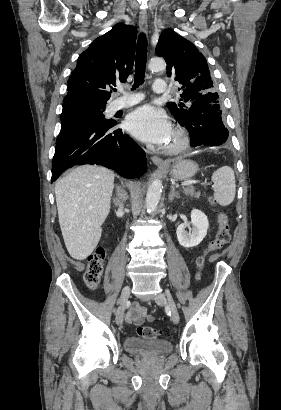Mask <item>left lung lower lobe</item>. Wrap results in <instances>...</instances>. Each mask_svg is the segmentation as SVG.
I'll list each match as a JSON object with an SVG mask.
<instances>
[{"mask_svg":"<svg viewBox=\"0 0 281 410\" xmlns=\"http://www.w3.org/2000/svg\"><path fill=\"white\" fill-rule=\"evenodd\" d=\"M221 115L219 101H197L191 104L186 119L180 125L190 132L192 147L218 146L227 140L229 131L225 128Z\"/></svg>","mask_w":281,"mask_h":410,"instance_id":"1","label":"left lung lower lobe"}]
</instances>
